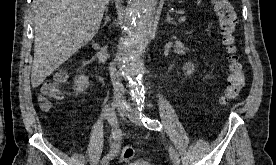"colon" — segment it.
<instances>
[{
	"instance_id": "colon-1",
	"label": "colon",
	"mask_w": 276,
	"mask_h": 165,
	"mask_svg": "<svg viewBox=\"0 0 276 165\" xmlns=\"http://www.w3.org/2000/svg\"><path fill=\"white\" fill-rule=\"evenodd\" d=\"M214 12L217 16L222 43L227 52L228 77L227 86L221 97L223 104L235 100L246 83V76L242 63L237 54L236 27L237 15L229 0H212ZM66 75L58 74L52 81L47 82L42 89L39 103L42 109L50 110L54 103L61 99V85L65 82ZM134 157V150L131 147H123L119 152V160L128 162Z\"/></svg>"
}]
</instances>
